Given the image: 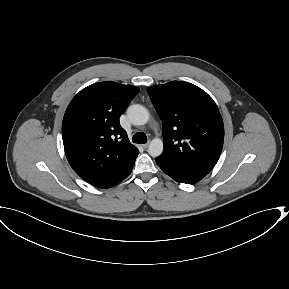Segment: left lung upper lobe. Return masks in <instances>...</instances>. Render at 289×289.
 <instances>
[{"label": "left lung upper lobe", "instance_id": "obj_1", "mask_svg": "<svg viewBox=\"0 0 289 289\" xmlns=\"http://www.w3.org/2000/svg\"><path fill=\"white\" fill-rule=\"evenodd\" d=\"M147 92L163 122L164 151L156 159L168 170L208 174L224 141V125L213 99L182 81L149 87Z\"/></svg>", "mask_w": 289, "mask_h": 289}]
</instances>
